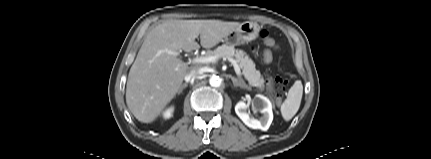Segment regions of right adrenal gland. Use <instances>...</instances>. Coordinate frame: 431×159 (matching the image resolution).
I'll return each instance as SVG.
<instances>
[{
  "instance_id": "1",
  "label": "right adrenal gland",
  "mask_w": 431,
  "mask_h": 159,
  "mask_svg": "<svg viewBox=\"0 0 431 159\" xmlns=\"http://www.w3.org/2000/svg\"><path fill=\"white\" fill-rule=\"evenodd\" d=\"M188 86V84H183L181 87H180V90H179V92H178V94H180V93H182V91H183V89L184 88H186Z\"/></svg>"
}]
</instances>
